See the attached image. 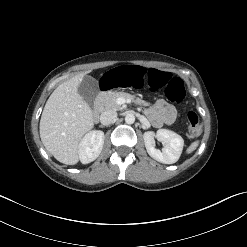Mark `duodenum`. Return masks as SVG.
Listing matches in <instances>:
<instances>
[{
    "mask_svg": "<svg viewBox=\"0 0 247 247\" xmlns=\"http://www.w3.org/2000/svg\"><path fill=\"white\" fill-rule=\"evenodd\" d=\"M98 111H99V107L98 106H95L94 112L97 113Z\"/></svg>",
    "mask_w": 247,
    "mask_h": 247,
    "instance_id": "1",
    "label": "duodenum"
}]
</instances>
